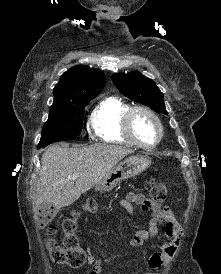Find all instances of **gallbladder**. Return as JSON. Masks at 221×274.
I'll return each instance as SVG.
<instances>
[{
  "instance_id": "gallbladder-1",
  "label": "gallbladder",
  "mask_w": 221,
  "mask_h": 274,
  "mask_svg": "<svg viewBox=\"0 0 221 274\" xmlns=\"http://www.w3.org/2000/svg\"><path fill=\"white\" fill-rule=\"evenodd\" d=\"M43 207L44 206L41 207V210H42ZM50 212L51 213L49 214V217L53 218L57 214L58 209L55 208V209L51 210Z\"/></svg>"
}]
</instances>
